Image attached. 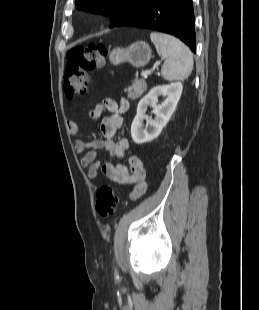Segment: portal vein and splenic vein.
<instances>
[{
    "mask_svg": "<svg viewBox=\"0 0 259 310\" xmlns=\"http://www.w3.org/2000/svg\"><path fill=\"white\" fill-rule=\"evenodd\" d=\"M155 68H156V66H153L152 69L142 71L141 76L144 77V78H147L153 72V70Z\"/></svg>",
    "mask_w": 259,
    "mask_h": 310,
    "instance_id": "1",
    "label": "portal vein and splenic vein"
}]
</instances>
